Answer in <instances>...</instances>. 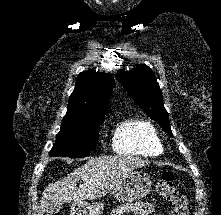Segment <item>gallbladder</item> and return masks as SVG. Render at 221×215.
Here are the masks:
<instances>
[{"instance_id": "gallbladder-1", "label": "gallbladder", "mask_w": 221, "mask_h": 215, "mask_svg": "<svg viewBox=\"0 0 221 215\" xmlns=\"http://www.w3.org/2000/svg\"><path fill=\"white\" fill-rule=\"evenodd\" d=\"M62 204L61 203H50L47 208V215H55L58 213L61 209Z\"/></svg>"}]
</instances>
